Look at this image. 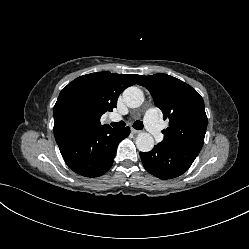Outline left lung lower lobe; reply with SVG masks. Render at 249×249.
<instances>
[{
	"label": "left lung lower lobe",
	"instance_id": "0a47b994",
	"mask_svg": "<svg viewBox=\"0 0 249 249\" xmlns=\"http://www.w3.org/2000/svg\"><path fill=\"white\" fill-rule=\"evenodd\" d=\"M199 152L179 147L156 145L150 152H140L145 169L161 179H171L186 172Z\"/></svg>",
	"mask_w": 249,
	"mask_h": 249
}]
</instances>
